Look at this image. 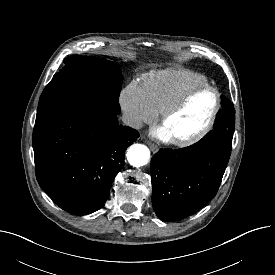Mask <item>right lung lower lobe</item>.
<instances>
[{"mask_svg": "<svg viewBox=\"0 0 275 275\" xmlns=\"http://www.w3.org/2000/svg\"><path fill=\"white\" fill-rule=\"evenodd\" d=\"M138 137L106 109L83 104L64 108L35 123L37 181L63 210L93 213L104 206L125 151Z\"/></svg>", "mask_w": 275, "mask_h": 275, "instance_id": "obj_1", "label": "right lung lower lobe"}]
</instances>
